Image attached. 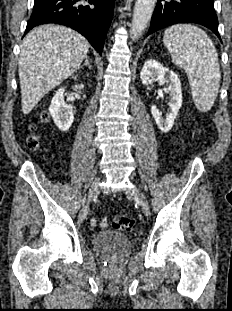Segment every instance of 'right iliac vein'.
<instances>
[{"label": "right iliac vein", "mask_w": 232, "mask_h": 311, "mask_svg": "<svg viewBox=\"0 0 232 311\" xmlns=\"http://www.w3.org/2000/svg\"><path fill=\"white\" fill-rule=\"evenodd\" d=\"M99 192V179H97L90 187L89 193H88V202L87 204L82 208V210L79 213V221L83 222L88 214L89 211V204L92 201L94 197L97 196Z\"/></svg>", "instance_id": "63e3f726"}]
</instances>
